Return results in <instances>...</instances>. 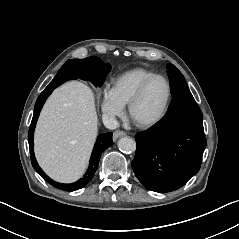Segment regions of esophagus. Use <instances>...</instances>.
<instances>
[{
    "label": "esophagus",
    "instance_id": "1",
    "mask_svg": "<svg viewBox=\"0 0 239 239\" xmlns=\"http://www.w3.org/2000/svg\"><path fill=\"white\" fill-rule=\"evenodd\" d=\"M126 133L122 130H116L114 133H113V141H116L118 138L122 137V136H125Z\"/></svg>",
    "mask_w": 239,
    "mask_h": 239
}]
</instances>
